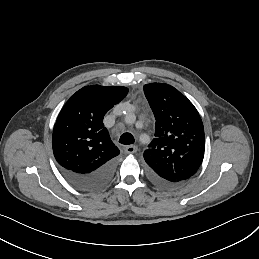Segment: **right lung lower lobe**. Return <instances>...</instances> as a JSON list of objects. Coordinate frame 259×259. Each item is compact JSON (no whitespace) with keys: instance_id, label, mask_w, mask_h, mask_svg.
I'll return each instance as SVG.
<instances>
[{"instance_id":"obj_1","label":"right lung lower lobe","mask_w":259,"mask_h":259,"mask_svg":"<svg viewBox=\"0 0 259 259\" xmlns=\"http://www.w3.org/2000/svg\"><path fill=\"white\" fill-rule=\"evenodd\" d=\"M116 159H112L97 170L90 173H76L64 168L61 172L74 186L83 190H95L105 185L115 170Z\"/></svg>"}]
</instances>
